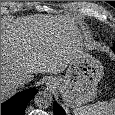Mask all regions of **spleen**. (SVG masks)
Returning <instances> with one entry per match:
<instances>
[{
  "label": "spleen",
  "mask_w": 115,
  "mask_h": 115,
  "mask_svg": "<svg viewBox=\"0 0 115 115\" xmlns=\"http://www.w3.org/2000/svg\"><path fill=\"white\" fill-rule=\"evenodd\" d=\"M74 115H115V99L82 106L73 110Z\"/></svg>",
  "instance_id": "obj_1"
}]
</instances>
